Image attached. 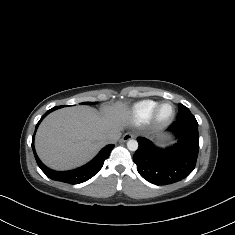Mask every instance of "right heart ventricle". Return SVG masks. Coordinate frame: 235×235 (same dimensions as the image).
<instances>
[{"label":"right heart ventricle","mask_w":235,"mask_h":235,"mask_svg":"<svg viewBox=\"0 0 235 235\" xmlns=\"http://www.w3.org/2000/svg\"><path fill=\"white\" fill-rule=\"evenodd\" d=\"M158 102L144 100L132 105H118L107 110V116L115 123L122 121L139 125L151 119L154 107Z\"/></svg>","instance_id":"e07e8e85"}]
</instances>
